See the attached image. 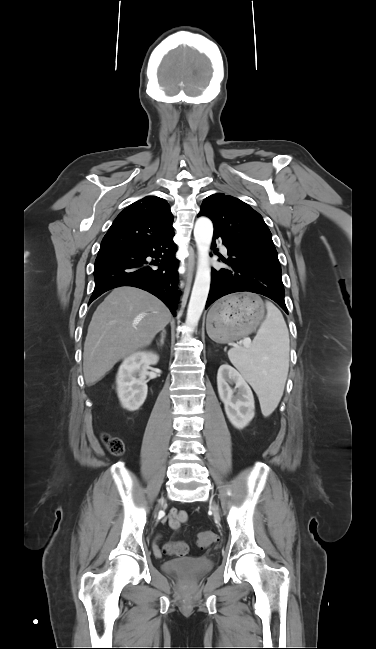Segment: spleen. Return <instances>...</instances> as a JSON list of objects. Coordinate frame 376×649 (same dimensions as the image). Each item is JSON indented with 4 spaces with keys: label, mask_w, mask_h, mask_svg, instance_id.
Returning a JSON list of instances; mask_svg holds the SVG:
<instances>
[{
    "label": "spleen",
    "mask_w": 376,
    "mask_h": 649,
    "mask_svg": "<svg viewBox=\"0 0 376 649\" xmlns=\"http://www.w3.org/2000/svg\"><path fill=\"white\" fill-rule=\"evenodd\" d=\"M267 315L250 347L228 352L231 363L251 384L264 416L270 415L283 395L289 369V334L280 310L266 301Z\"/></svg>",
    "instance_id": "1"
}]
</instances>
